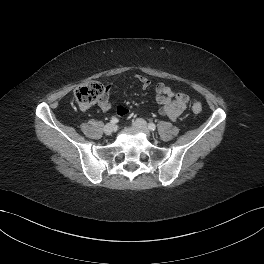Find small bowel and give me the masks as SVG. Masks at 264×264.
<instances>
[{
    "label": "small bowel",
    "instance_id": "obj_1",
    "mask_svg": "<svg viewBox=\"0 0 264 264\" xmlns=\"http://www.w3.org/2000/svg\"><path fill=\"white\" fill-rule=\"evenodd\" d=\"M136 79L140 82L143 89H147L150 86V80L145 76H136ZM111 84H108L106 89L105 97L99 102V106L103 111H109L112 107L109 100V92L111 89ZM156 99L160 104L158 110L160 115L167 116L172 120H176L187 108L190 98L187 94L182 92H176L172 90L169 86L158 83L155 87ZM88 107H81L82 110H86ZM117 113L124 115L127 110L123 107H117Z\"/></svg>",
    "mask_w": 264,
    "mask_h": 264
}]
</instances>
